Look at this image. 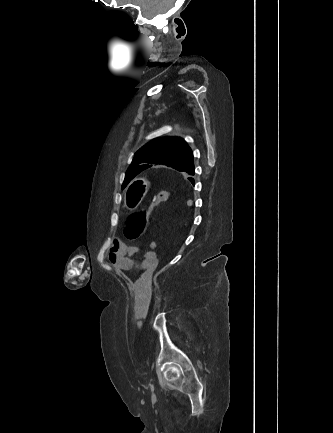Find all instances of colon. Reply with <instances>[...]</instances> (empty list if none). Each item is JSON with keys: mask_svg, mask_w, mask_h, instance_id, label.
<instances>
[{"mask_svg": "<svg viewBox=\"0 0 333 433\" xmlns=\"http://www.w3.org/2000/svg\"><path fill=\"white\" fill-rule=\"evenodd\" d=\"M168 192H160L155 195L147 208L128 216L124 225V236L127 240L134 241L141 237L144 233L149 219L154 210L163 202L169 199Z\"/></svg>", "mask_w": 333, "mask_h": 433, "instance_id": "colon-1", "label": "colon"}]
</instances>
